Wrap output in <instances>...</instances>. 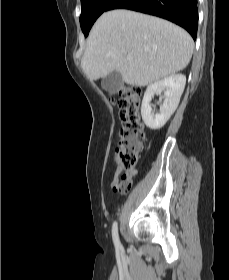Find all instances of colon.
Listing matches in <instances>:
<instances>
[{"mask_svg":"<svg viewBox=\"0 0 229 280\" xmlns=\"http://www.w3.org/2000/svg\"><path fill=\"white\" fill-rule=\"evenodd\" d=\"M141 95L142 90L135 86H125L119 91L122 127L115 149V162L123 169V173L112 185L115 191L131 189L139 151L144 143V127L140 116Z\"/></svg>","mask_w":229,"mask_h":280,"instance_id":"colon-1","label":"colon"}]
</instances>
